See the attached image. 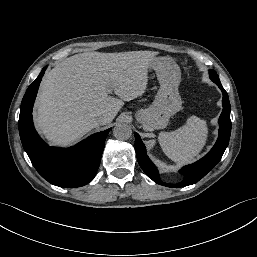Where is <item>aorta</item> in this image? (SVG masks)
Instances as JSON below:
<instances>
[{
  "label": "aorta",
  "mask_w": 257,
  "mask_h": 257,
  "mask_svg": "<svg viewBox=\"0 0 257 257\" xmlns=\"http://www.w3.org/2000/svg\"><path fill=\"white\" fill-rule=\"evenodd\" d=\"M113 135L116 139L127 140L132 135V129L126 123H118L113 128Z\"/></svg>",
  "instance_id": "aorta-1"
}]
</instances>
